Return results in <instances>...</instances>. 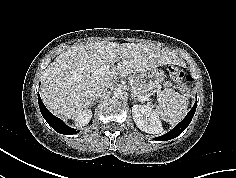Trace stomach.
<instances>
[{
	"instance_id": "0dacf381",
	"label": "stomach",
	"mask_w": 236,
	"mask_h": 178,
	"mask_svg": "<svg viewBox=\"0 0 236 178\" xmlns=\"http://www.w3.org/2000/svg\"><path fill=\"white\" fill-rule=\"evenodd\" d=\"M165 74L162 70L156 68L141 72L137 76L140 86L148 93L157 89L164 81Z\"/></svg>"
}]
</instances>
